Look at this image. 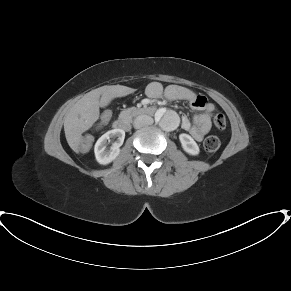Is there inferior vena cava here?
<instances>
[{"label":"inferior vena cava","instance_id":"1","mask_svg":"<svg viewBox=\"0 0 291 291\" xmlns=\"http://www.w3.org/2000/svg\"><path fill=\"white\" fill-rule=\"evenodd\" d=\"M153 118L148 116V115H139L135 118L134 120V127L135 128H141L143 126H148L151 125L153 123Z\"/></svg>","mask_w":291,"mask_h":291}]
</instances>
